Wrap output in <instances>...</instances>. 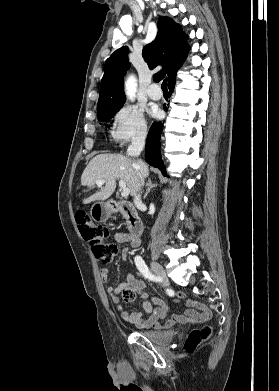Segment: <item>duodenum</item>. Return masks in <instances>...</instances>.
Instances as JSON below:
<instances>
[{
    "instance_id": "duodenum-1",
    "label": "duodenum",
    "mask_w": 279,
    "mask_h": 391,
    "mask_svg": "<svg viewBox=\"0 0 279 391\" xmlns=\"http://www.w3.org/2000/svg\"><path fill=\"white\" fill-rule=\"evenodd\" d=\"M110 209L114 213H120L126 219L132 243L139 241V237L143 232V222L133 205L128 201L112 200Z\"/></svg>"
}]
</instances>
